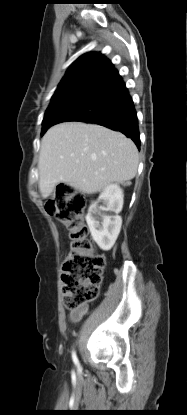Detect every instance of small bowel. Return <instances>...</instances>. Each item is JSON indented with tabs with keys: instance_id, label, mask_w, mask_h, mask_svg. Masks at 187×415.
<instances>
[{
	"instance_id": "1",
	"label": "small bowel",
	"mask_w": 187,
	"mask_h": 415,
	"mask_svg": "<svg viewBox=\"0 0 187 415\" xmlns=\"http://www.w3.org/2000/svg\"><path fill=\"white\" fill-rule=\"evenodd\" d=\"M86 312H87L86 306H82L76 310H73L70 312V320L72 322H77L86 314Z\"/></svg>"
}]
</instances>
